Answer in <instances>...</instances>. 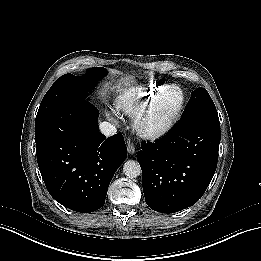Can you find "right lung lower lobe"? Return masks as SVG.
<instances>
[{"label":"right lung lower lobe","mask_w":261,"mask_h":261,"mask_svg":"<svg viewBox=\"0 0 261 261\" xmlns=\"http://www.w3.org/2000/svg\"><path fill=\"white\" fill-rule=\"evenodd\" d=\"M99 111L85 99H71L35 122L36 155L50 195L82 213L101 208L110 181L127 156L121 133L98 132Z\"/></svg>","instance_id":"right-lung-lower-lobe-1"}]
</instances>
